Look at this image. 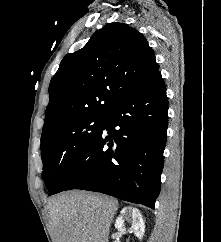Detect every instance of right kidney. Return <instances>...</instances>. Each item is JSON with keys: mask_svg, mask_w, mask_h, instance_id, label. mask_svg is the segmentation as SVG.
<instances>
[{"mask_svg": "<svg viewBox=\"0 0 221 242\" xmlns=\"http://www.w3.org/2000/svg\"><path fill=\"white\" fill-rule=\"evenodd\" d=\"M125 222L131 223L130 232L141 240L145 233V224L140 211L134 207H124L115 221V228L120 232H125Z\"/></svg>", "mask_w": 221, "mask_h": 242, "instance_id": "right-kidney-1", "label": "right kidney"}]
</instances>
